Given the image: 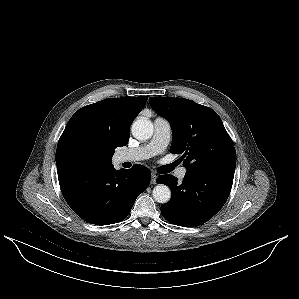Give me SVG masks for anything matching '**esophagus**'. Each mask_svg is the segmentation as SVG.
Returning a JSON list of instances; mask_svg holds the SVG:
<instances>
[{
	"mask_svg": "<svg viewBox=\"0 0 299 299\" xmlns=\"http://www.w3.org/2000/svg\"><path fill=\"white\" fill-rule=\"evenodd\" d=\"M156 178H157V175L154 172H152V174H151V184H156Z\"/></svg>",
	"mask_w": 299,
	"mask_h": 299,
	"instance_id": "obj_1",
	"label": "esophagus"
}]
</instances>
